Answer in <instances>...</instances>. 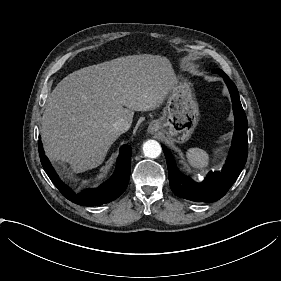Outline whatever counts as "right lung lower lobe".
I'll return each mask as SVG.
<instances>
[{"label":"right lung lower lobe","mask_w":281,"mask_h":281,"mask_svg":"<svg viewBox=\"0 0 281 281\" xmlns=\"http://www.w3.org/2000/svg\"><path fill=\"white\" fill-rule=\"evenodd\" d=\"M38 145L40 160L45 172L62 195L73 203L82 206H98L109 203L118 198L128 185L131 168V148L128 145L120 148L116 169L111 178L98 188L85 190L81 194H75L60 180L44 154L41 140L38 141Z\"/></svg>","instance_id":"1"}]
</instances>
